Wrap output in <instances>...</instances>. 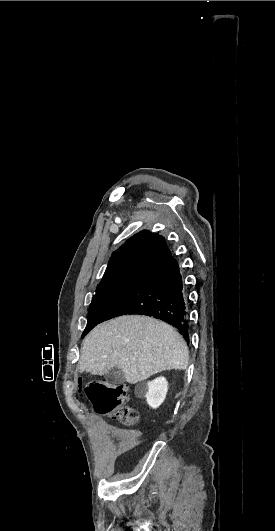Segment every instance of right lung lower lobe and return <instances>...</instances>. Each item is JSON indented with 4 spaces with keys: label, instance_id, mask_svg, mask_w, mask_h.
Returning a JSON list of instances; mask_svg holds the SVG:
<instances>
[{
    "label": "right lung lower lobe",
    "instance_id": "right-lung-lower-lobe-1",
    "mask_svg": "<svg viewBox=\"0 0 275 531\" xmlns=\"http://www.w3.org/2000/svg\"><path fill=\"white\" fill-rule=\"evenodd\" d=\"M125 314L163 320L189 342L187 297L179 265L167 248L106 311L102 322Z\"/></svg>",
    "mask_w": 275,
    "mask_h": 531
}]
</instances>
